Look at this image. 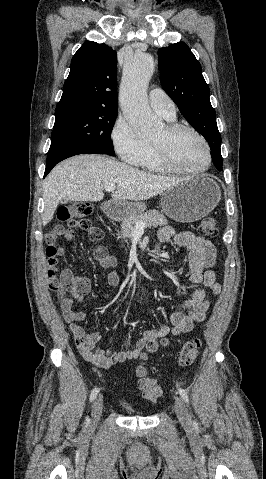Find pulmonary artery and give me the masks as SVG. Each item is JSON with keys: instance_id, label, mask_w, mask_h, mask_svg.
Here are the masks:
<instances>
[{"instance_id": "obj_1", "label": "pulmonary artery", "mask_w": 266, "mask_h": 479, "mask_svg": "<svg viewBox=\"0 0 266 479\" xmlns=\"http://www.w3.org/2000/svg\"><path fill=\"white\" fill-rule=\"evenodd\" d=\"M149 104L163 118L167 120L176 118L175 104L163 90L159 88L151 89L149 92Z\"/></svg>"}]
</instances>
